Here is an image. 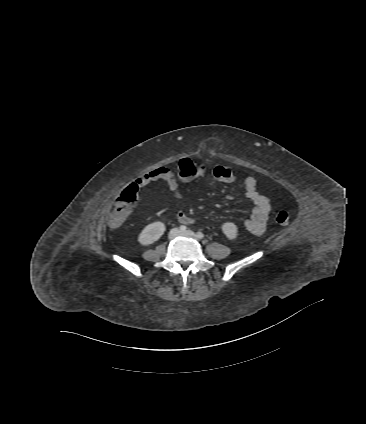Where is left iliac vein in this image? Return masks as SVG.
<instances>
[{
	"label": "left iliac vein",
	"instance_id": "obj_1",
	"mask_svg": "<svg viewBox=\"0 0 366 424\" xmlns=\"http://www.w3.org/2000/svg\"><path fill=\"white\" fill-rule=\"evenodd\" d=\"M180 236L197 239L195 233L193 231H191V230H187L185 232H181L180 233Z\"/></svg>",
	"mask_w": 366,
	"mask_h": 424
}]
</instances>
